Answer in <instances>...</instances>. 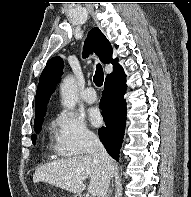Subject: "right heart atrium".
Here are the masks:
<instances>
[{
    "mask_svg": "<svg viewBox=\"0 0 191 197\" xmlns=\"http://www.w3.org/2000/svg\"><path fill=\"white\" fill-rule=\"evenodd\" d=\"M54 151L60 156L86 152L95 142L96 135L75 114L62 112L54 121Z\"/></svg>",
    "mask_w": 191,
    "mask_h": 197,
    "instance_id": "obj_1",
    "label": "right heart atrium"
}]
</instances>
